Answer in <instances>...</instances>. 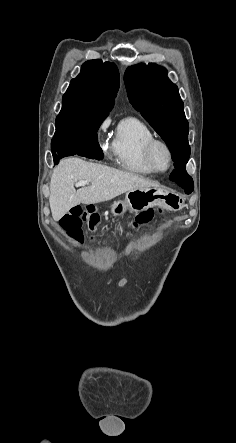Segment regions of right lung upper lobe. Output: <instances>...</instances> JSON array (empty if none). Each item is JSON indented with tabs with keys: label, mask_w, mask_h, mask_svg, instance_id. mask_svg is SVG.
<instances>
[{
	"label": "right lung upper lobe",
	"mask_w": 236,
	"mask_h": 443,
	"mask_svg": "<svg viewBox=\"0 0 236 443\" xmlns=\"http://www.w3.org/2000/svg\"><path fill=\"white\" fill-rule=\"evenodd\" d=\"M119 89V71L114 63L90 60L71 80L62 98V109L86 113H109Z\"/></svg>",
	"instance_id": "cb5924a9"
}]
</instances>
